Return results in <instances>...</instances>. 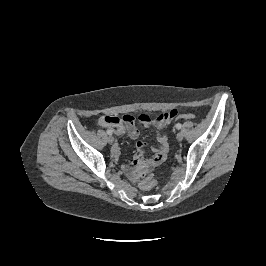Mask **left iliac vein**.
<instances>
[{
  "label": "left iliac vein",
  "instance_id": "4c4485c4",
  "mask_svg": "<svg viewBox=\"0 0 266 266\" xmlns=\"http://www.w3.org/2000/svg\"><path fill=\"white\" fill-rule=\"evenodd\" d=\"M183 133H181V132H178L177 134H176V138H177V140L178 141H182L183 140Z\"/></svg>",
  "mask_w": 266,
  "mask_h": 266
}]
</instances>
